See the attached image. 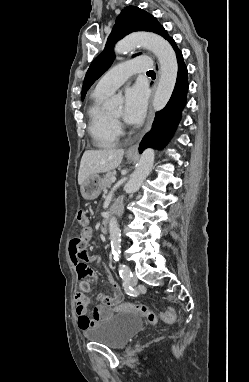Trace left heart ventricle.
<instances>
[{
	"instance_id": "obj_1",
	"label": "left heart ventricle",
	"mask_w": 249,
	"mask_h": 382,
	"mask_svg": "<svg viewBox=\"0 0 249 382\" xmlns=\"http://www.w3.org/2000/svg\"><path fill=\"white\" fill-rule=\"evenodd\" d=\"M123 110L122 108H119L118 110L111 113V115L115 118H120L122 116Z\"/></svg>"
}]
</instances>
